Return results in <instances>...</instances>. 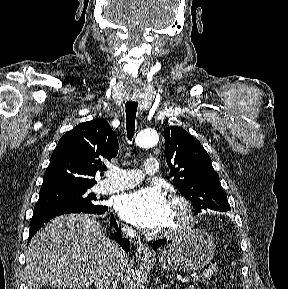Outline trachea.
<instances>
[{
    "instance_id": "trachea-1",
    "label": "trachea",
    "mask_w": 288,
    "mask_h": 289,
    "mask_svg": "<svg viewBox=\"0 0 288 289\" xmlns=\"http://www.w3.org/2000/svg\"><path fill=\"white\" fill-rule=\"evenodd\" d=\"M126 108V129L127 138L132 140L135 131V118L137 113L138 104L136 102H127Z\"/></svg>"
}]
</instances>
